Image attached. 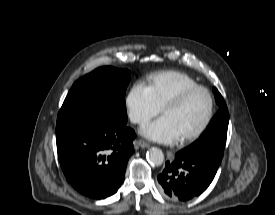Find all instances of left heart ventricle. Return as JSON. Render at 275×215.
Returning a JSON list of instances; mask_svg holds the SVG:
<instances>
[{
    "instance_id": "b2bd125f",
    "label": "left heart ventricle",
    "mask_w": 275,
    "mask_h": 215,
    "mask_svg": "<svg viewBox=\"0 0 275 215\" xmlns=\"http://www.w3.org/2000/svg\"><path fill=\"white\" fill-rule=\"evenodd\" d=\"M209 109V99L204 91H195L178 106L165 111L163 116L174 126L178 138L193 132L205 119Z\"/></svg>"
}]
</instances>
